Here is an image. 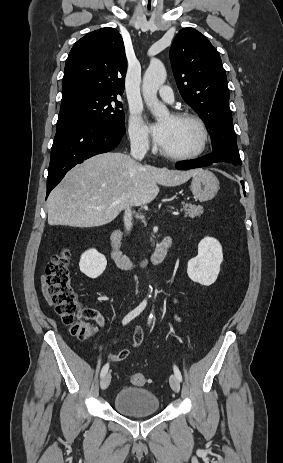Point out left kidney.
Returning <instances> with one entry per match:
<instances>
[{"instance_id":"obj_1","label":"left kidney","mask_w":283,"mask_h":463,"mask_svg":"<svg viewBox=\"0 0 283 463\" xmlns=\"http://www.w3.org/2000/svg\"><path fill=\"white\" fill-rule=\"evenodd\" d=\"M223 261L222 246L218 240L205 237L198 244V255L188 261V277L204 286L212 285Z\"/></svg>"}]
</instances>
